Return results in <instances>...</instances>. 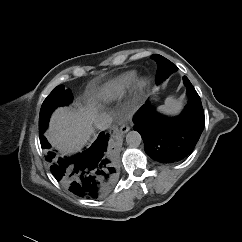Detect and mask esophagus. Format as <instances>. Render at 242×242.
<instances>
[{
	"mask_svg": "<svg viewBox=\"0 0 242 242\" xmlns=\"http://www.w3.org/2000/svg\"><path fill=\"white\" fill-rule=\"evenodd\" d=\"M129 130H130V127H129V125L127 123H122L121 126H120V129H119L121 134H125Z\"/></svg>",
	"mask_w": 242,
	"mask_h": 242,
	"instance_id": "34e87169",
	"label": "esophagus"
}]
</instances>
